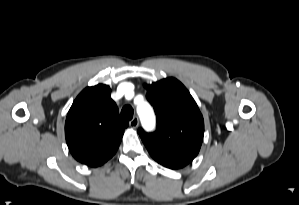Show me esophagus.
Here are the masks:
<instances>
[{
  "label": "esophagus",
  "instance_id": "obj_1",
  "mask_svg": "<svg viewBox=\"0 0 299 205\" xmlns=\"http://www.w3.org/2000/svg\"><path fill=\"white\" fill-rule=\"evenodd\" d=\"M139 125V119L138 117H134L131 121H130V127L131 128H137Z\"/></svg>",
  "mask_w": 299,
  "mask_h": 205
}]
</instances>
